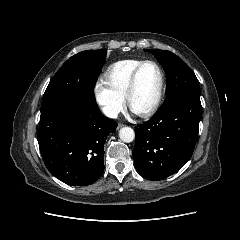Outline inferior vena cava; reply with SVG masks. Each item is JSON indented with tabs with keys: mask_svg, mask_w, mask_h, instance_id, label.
Instances as JSON below:
<instances>
[{
	"mask_svg": "<svg viewBox=\"0 0 240 240\" xmlns=\"http://www.w3.org/2000/svg\"><path fill=\"white\" fill-rule=\"evenodd\" d=\"M102 111L107 117L114 119L118 117L119 113V110L117 108L111 106H104L102 108Z\"/></svg>",
	"mask_w": 240,
	"mask_h": 240,
	"instance_id": "obj_1",
	"label": "inferior vena cava"
}]
</instances>
